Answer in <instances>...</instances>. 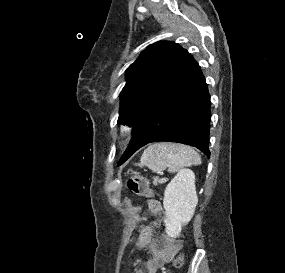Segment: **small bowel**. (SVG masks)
Segmentation results:
<instances>
[{"mask_svg":"<svg viewBox=\"0 0 285 273\" xmlns=\"http://www.w3.org/2000/svg\"><path fill=\"white\" fill-rule=\"evenodd\" d=\"M148 210L151 214L159 215L163 212L162 204L157 200L148 201ZM159 222H153L148 227V232H140L136 245L139 249L149 248L152 257L145 262L144 269H137L135 273H157L158 269L168 263L179 250V245L170 240L163 244L153 240L154 228Z\"/></svg>","mask_w":285,"mask_h":273,"instance_id":"1","label":"small bowel"}]
</instances>
